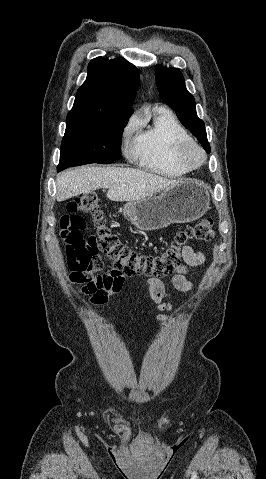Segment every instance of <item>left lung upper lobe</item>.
Wrapping results in <instances>:
<instances>
[{"label": "left lung upper lobe", "mask_w": 266, "mask_h": 479, "mask_svg": "<svg viewBox=\"0 0 266 479\" xmlns=\"http://www.w3.org/2000/svg\"><path fill=\"white\" fill-rule=\"evenodd\" d=\"M156 84L164 102L175 110L180 122L197 137L205 151L210 153L205 124L197 117L194 97L187 91L181 72L175 68L156 65Z\"/></svg>", "instance_id": "obj_1"}]
</instances>
